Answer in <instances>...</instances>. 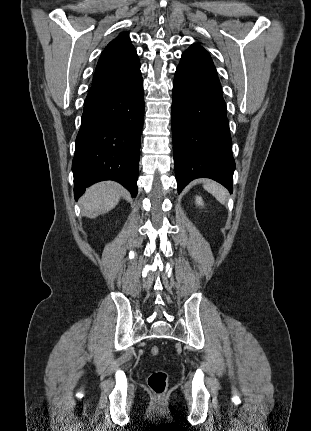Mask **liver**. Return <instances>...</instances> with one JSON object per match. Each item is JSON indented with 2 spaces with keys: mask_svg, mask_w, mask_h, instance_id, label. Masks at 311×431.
<instances>
[{
  "mask_svg": "<svg viewBox=\"0 0 311 431\" xmlns=\"http://www.w3.org/2000/svg\"><path fill=\"white\" fill-rule=\"evenodd\" d=\"M124 192L123 188L116 182H100L88 188L86 194L81 198V204L88 212L89 217H96L97 214H106L117 206L120 196Z\"/></svg>",
  "mask_w": 311,
  "mask_h": 431,
  "instance_id": "1",
  "label": "liver"
}]
</instances>
